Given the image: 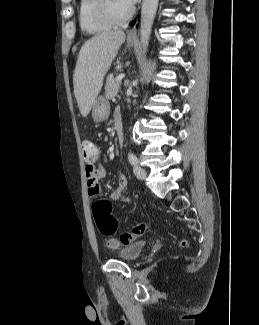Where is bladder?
<instances>
[{
    "label": "bladder",
    "mask_w": 259,
    "mask_h": 325,
    "mask_svg": "<svg viewBox=\"0 0 259 325\" xmlns=\"http://www.w3.org/2000/svg\"><path fill=\"white\" fill-rule=\"evenodd\" d=\"M145 246H146L145 241H136V242L130 243V244L124 246L123 248H121L117 252V256H118V258H120L124 261H134L141 255Z\"/></svg>",
    "instance_id": "1"
}]
</instances>
